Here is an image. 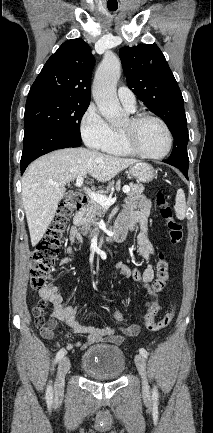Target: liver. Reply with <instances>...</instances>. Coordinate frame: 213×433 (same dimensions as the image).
I'll list each match as a JSON object with an SVG mask.
<instances>
[{"mask_svg": "<svg viewBox=\"0 0 213 433\" xmlns=\"http://www.w3.org/2000/svg\"><path fill=\"white\" fill-rule=\"evenodd\" d=\"M135 163L138 160L82 147L60 149L32 162L22 177V201L32 246L47 231L67 183L87 174L106 182Z\"/></svg>", "mask_w": 213, "mask_h": 433, "instance_id": "1", "label": "liver"}]
</instances>
